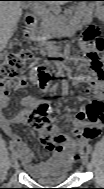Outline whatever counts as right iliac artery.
<instances>
[{
    "label": "right iliac artery",
    "instance_id": "1",
    "mask_svg": "<svg viewBox=\"0 0 104 189\" xmlns=\"http://www.w3.org/2000/svg\"><path fill=\"white\" fill-rule=\"evenodd\" d=\"M10 150H14V146L13 145H10Z\"/></svg>",
    "mask_w": 104,
    "mask_h": 189
}]
</instances>
